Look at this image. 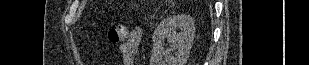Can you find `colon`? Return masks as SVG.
Masks as SVG:
<instances>
[{"label":"colon","mask_w":309,"mask_h":65,"mask_svg":"<svg viewBox=\"0 0 309 65\" xmlns=\"http://www.w3.org/2000/svg\"><path fill=\"white\" fill-rule=\"evenodd\" d=\"M126 34H127L126 27L121 23H117L111 26L108 29V33H107L108 38L111 42H119L123 40Z\"/></svg>","instance_id":"5ec220e1"}]
</instances>
